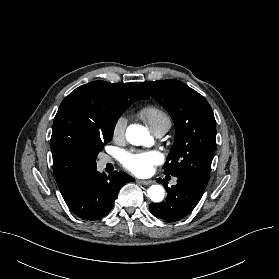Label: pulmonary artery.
<instances>
[{
    "mask_svg": "<svg viewBox=\"0 0 279 279\" xmlns=\"http://www.w3.org/2000/svg\"><path fill=\"white\" fill-rule=\"evenodd\" d=\"M168 129H169L168 127L161 128V129L157 130L156 132H154V134L157 137H161L168 131ZM109 161H110V159L108 157H105L102 159V164H106ZM175 183H176V180H173V184H175Z\"/></svg>",
    "mask_w": 279,
    "mask_h": 279,
    "instance_id": "pulmonary-artery-1",
    "label": "pulmonary artery"
}]
</instances>
